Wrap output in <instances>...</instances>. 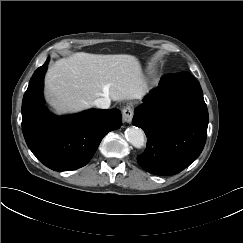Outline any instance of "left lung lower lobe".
Returning a JSON list of instances; mask_svg holds the SVG:
<instances>
[{
	"label": "left lung lower lobe",
	"instance_id": "0a47b994",
	"mask_svg": "<svg viewBox=\"0 0 243 243\" xmlns=\"http://www.w3.org/2000/svg\"><path fill=\"white\" fill-rule=\"evenodd\" d=\"M132 123L148 136L137 157L156 175H173L188 167L203 150L208 110L199 82L188 72L165 75L134 111Z\"/></svg>",
	"mask_w": 243,
	"mask_h": 243
}]
</instances>
